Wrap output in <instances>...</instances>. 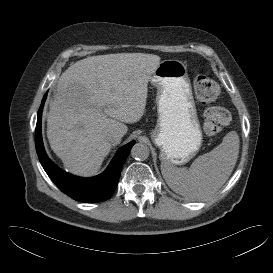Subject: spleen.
Masks as SVG:
<instances>
[{
	"instance_id": "spleen-1",
	"label": "spleen",
	"mask_w": 273,
	"mask_h": 273,
	"mask_svg": "<svg viewBox=\"0 0 273 273\" xmlns=\"http://www.w3.org/2000/svg\"><path fill=\"white\" fill-rule=\"evenodd\" d=\"M239 136L231 131L212 151L195 159L190 168L161 163L162 175L176 193L190 199H202L217 192L231 175L239 154Z\"/></svg>"
}]
</instances>
